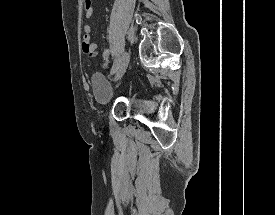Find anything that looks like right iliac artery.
Returning a JSON list of instances; mask_svg holds the SVG:
<instances>
[{"label": "right iliac artery", "mask_w": 275, "mask_h": 215, "mask_svg": "<svg viewBox=\"0 0 275 215\" xmlns=\"http://www.w3.org/2000/svg\"><path fill=\"white\" fill-rule=\"evenodd\" d=\"M119 60H120L119 56H116L115 61H114L113 66H112V72L113 73L115 72V70L117 69V67L119 65Z\"/></svg>", "instance_id": "1"}]
</instances>
